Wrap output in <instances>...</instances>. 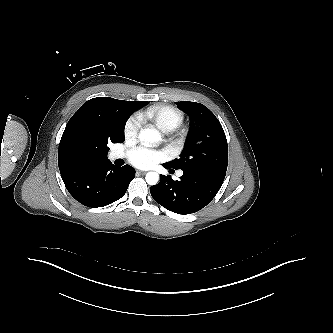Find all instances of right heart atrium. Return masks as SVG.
Instances as JSON below:
<instances>
[{"mask_svg":"<svg viewBox=\"0 0 333 333\" xmlns=\"http://www.w3.org/2000/svg\"><path fill=\"white\" fill-rule=\"evenodd\" d=\"M141 127V118L138 114L130 116L124 125V136L128 141H133L137 138Z\"/></svg>","mask_w":333,"mask_h":333,"instance_id":"d8ad5b80","label":"right heart atrium"}]
</instances>
